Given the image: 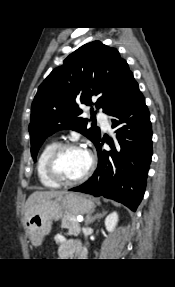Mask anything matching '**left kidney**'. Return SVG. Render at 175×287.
I'll return each mask as SVG.
<instances>
[{"instance_id":"1","label":"left kidney","mask_w":175,"mask_h":287,"mask_svg":"<svg viewBox=\"0 0 175 287\" xmlns=\"http://www.w3.org/2000/svg\"><path fill=\"white\" fill-rule=\"evenodd\" d=\"M118 223V214L116 212H113L109 214L105 219V227L108 232H113L116 228V225Z\"/></svg>"}]
</instances>
